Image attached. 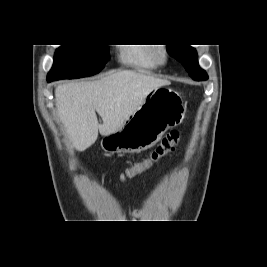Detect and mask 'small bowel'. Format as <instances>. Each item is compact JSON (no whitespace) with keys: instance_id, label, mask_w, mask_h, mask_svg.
<instances>
[{"instance_id":"c3829d8e","label":"small bowel","mask_w":267,"mask_h":267,"mask_svg":"<svg viewBox=\"0 0 267 267\" xmlns=\"http://www.w3.org/2000/svg\"><path fill=\"white\" fill-rule=\"evenodd\" d=\"M139 214H140L139 211H135V212L133 213L134 216H138Z\"/></svg>"}]
</instances>
